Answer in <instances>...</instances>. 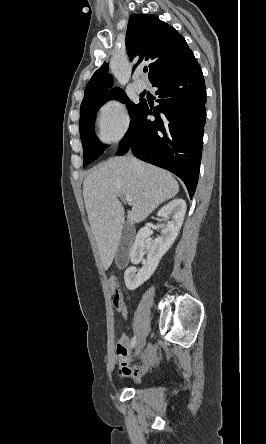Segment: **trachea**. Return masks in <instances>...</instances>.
<instances>
[{"label":"trachea","instance_id":"1","mask_svg":"<svg viewBox=\"0 0 266 444\" xmlns=\"http://www.w3.org/2000/svg\"><path fill=\"white\" fill-rule=\"evenodd\" d=\"M143 71H144V72H147V71H148V68H147V67H144V68H143Z\"/></svg>","mask_w":266,"mask_h":444}]
</instances>
